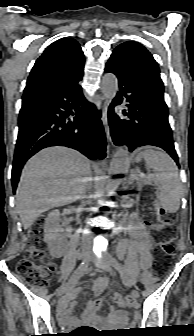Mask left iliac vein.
<instances>
[{"label":"left iliac vein","mask_w":194,"mask_h":336,"mask_svg":"<svg viewBox=\"0 0 194 336\" xmlns=\"http://www.w3.org/2000/svg\"><path fill=\"white\" fill-rule=\"evenodd\" d=\"M119 263L115 258H113L111 255H105L104 256V262H103V269L106 271H111L112 268H117ZM132 295L134 298H139V292L137 290L132 291Z\"/></svg>","instance_id":"left-iliac-vein-1"}]
</instances>
